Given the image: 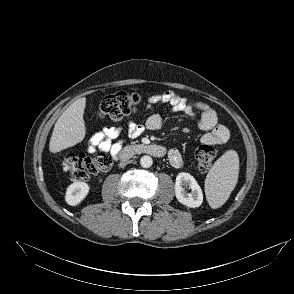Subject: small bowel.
Returning <instances> with one entry per match:
<instances>
[{"mask_svg": "<svg viewBox=\"0 0 294 294\" xmlns=\"http://www.w3.org/2000/svg\"><path fill=\"white\" fill-rule=\"evenodd\" d=\"M162 104L170 105L174 112H183L190 117L199 116L197 127L203 132L201 141L204 144L219 146L227 142L229 131L226 126L218 122L216 112L208 104L191 101L173 91H166L150 96L147 99L146 111L150 112ZM163 123V119L159 114L152 113L142 122L130 121L127 125V132L131 138H136L145 130H160ZM121 131L122 129L119 127L105 126L89 139L88 152L101 151L109 153L114 159H117L122 149V141L114 142L113 140L120 135ZM168 160L174 167H180L183 163L182 155L177 149H171L168 152Z\"/></svg>", "mask_w": 294, "mask_h": 294, "instance_id": "c3829d8e", "label": "small bowel"}]
</instances>
